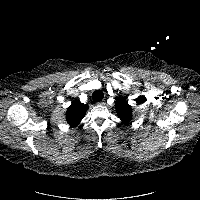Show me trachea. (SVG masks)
Here are the masks:
<instances>
[{
	"instance_id": "trachea-1",
	"label": "trachea",
	"mask_w": 200,
	"mask_h": 200,
	"mask_svg": "<svg viewBox=\"0 0 200 200\" xmlns=\"http://www.w3.org/2000/svg\"><path fill=\"white\" fill-rule=\"evenodd\" d=\"M104 97V93L100 90H96L93 92L92 94V99L95 101V102H100Z\"/></svg>"
}]
</instances>
